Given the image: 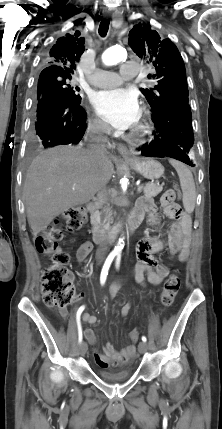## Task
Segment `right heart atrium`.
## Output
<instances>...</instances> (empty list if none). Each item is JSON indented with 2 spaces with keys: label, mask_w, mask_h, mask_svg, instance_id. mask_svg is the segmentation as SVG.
I'll list each match as a JSON object with an SVG mask.
<instances>
[{
  "label": "right heart atrium",
  "mask_w": 222,
  "mask_h": 429,
  "mask_svg": "<svg viewBox=\"0 0 222 429\" xmlns=\"http://www.w3.org/2000/svg\"><path fill=\"white\" fill-rule=\"evenodd\" d=\"M88 126L91 131L96 133H102L107 130L106 125L95 115L89 117Z\"/></svg>",
  "instance_id": "right-heart-atrium-1"
}]
</instances>
